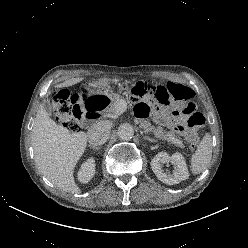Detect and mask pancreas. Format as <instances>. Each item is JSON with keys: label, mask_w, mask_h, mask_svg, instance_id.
<instances>
[{"label": "pancreas", "mask_w": 248, "mask_h": 248, "mask_svg": "<svg viewBox=\"0 0 248 248\" xmlns=\"http://www.w3.org/2000/svg\"><path fill=\"white\" fill-rule=\"evenodd\" d=\"M120 100H123V99H121L118 94L113 95V98L111 99V104L109 107L110 113H113L115 115L117 103ZM140 127L143 129L145 133H154L155 137L162 139L164 141H167V142H171L181 148H184L183 142L175 138L174 132L172 131H164L162 127L154 128V126L146 120H143L140 122Z\"/></svg>", "instance_id": "1"}]
</instances>
